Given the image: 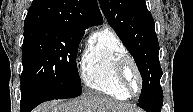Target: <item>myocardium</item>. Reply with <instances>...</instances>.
I'll use <instances>...</instances> for the list:
<instances>
[{
  "mask_svg": "<svg viewBox=\"0 0 193 112\" xmlns=\"http://www.w3.org/2000/svg\"><path fill=\"white\" fill-rule=\"evenodd\" d=\"M130 70L134 73L136 78V89L133 88L129 80L128 73ZM116 75L120 84L129 95L135 96L141 93L143 87L142 76L135 59L130 54H124L117 60Z\"/></svg>",
  "mask_w": 193,
  "mask_h": 112,
  "instance_id": "myocardium-1",
  "label": "myocardium"
}]
</instances>
